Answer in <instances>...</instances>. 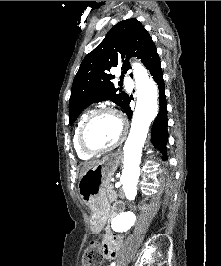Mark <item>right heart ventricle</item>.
<instances>
[{"label": "right heart ventricle", "instance_id": "obj_1", "mask_svg": "<svg viewBox=\"0 0 221 266\" xmlns=\"http://www.w3.org/2000/svg\"><path fill=\"white\" fill-rule=\"evenodd\" d=\"M88 113H83L78 122H77V125H76V128H75V131H74V135H73V145H74V149L77 153V155L81 158V159H90L92 157L91 154H88L86 152H84L80 145H79V141H78V136H79V131H80V128H81V125L83 123V121L85 120V118L87 117Z\"/></svg>", "mask_w": 221, "mask_h": 266}]
</instances>
